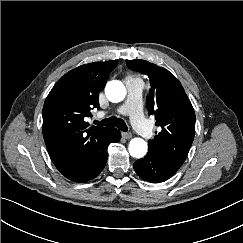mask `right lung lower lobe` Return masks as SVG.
Masks as SVG:
<instances>
[{"label":"right lung lower lobe","instance_id":"98d812e1","mask_svg":"<svg viewBox=\"0 0 243 243\" xmlns=\"http://www.w3.org/2000/svg\"><path fill=\"white\" fill-rule=\"evenodd\" d=\"M120 138V131L112 128V131L107 134L102 147L96 151L87 161L82 164H57L56 167L62 175L71 181L87 182L98 176L99 173L103 170L108 157V145L112 142H118Z\"/></svg>","mask_w":243,"mask_h":243}]
</instances>
